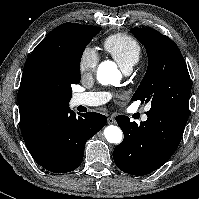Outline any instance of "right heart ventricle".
<instances>
[{
    "instance_id": "right-heart-ventricle-1",
    "label": "right heart ventricle",
    "mask_w": 199,
    "mask_h": 199,
    "mask_svg": "<svg viewBox=\"0 0 199 199\" xmlns=\"http://www.w3.org/2000/svg\"><path fill=\"white\" fill-rule=\"evenodd\" d=\"M103 45L122 69L132 68L139 61L142 54L138 41L124 33L108 36Z\"/></svg>"
}]
</instances>
